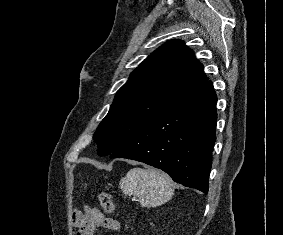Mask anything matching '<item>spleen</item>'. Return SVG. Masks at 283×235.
I'll return each mask as SVG.
<instances>
[{
	"label": "spleen",
	"mask_w": 283,
	"mask_h": 235,
	"mask_svg": "<svg viewBox=\"0 0 283 235\" xmlns=\"http://www.w3.org/2000/svg\"><path fill=\"white\" fill-rule=\"evenodd\" d=\"M120 189L125 196H136L142 207L151 208L168 202L175 184L170 176L155 169L132 168L121 179Z\"/></svg>",
	"instance_id": "3e777b00"
}]
</instances>
